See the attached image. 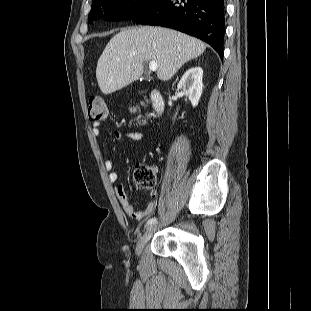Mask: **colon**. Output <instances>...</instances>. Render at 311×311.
<instances>
[{
  "label": "colon",
  "instance_id": "obj_1",
  "mask_svg": "<svg viewBox=\"0 0 311 311\" xmlns=\"http://www.w3.org/2000/svg\"><path fill=\"white\" fill-rule=\"evenodd\" d=\"M108 109L106 102L101 97H92L89 100L88 105V117L92 122H100L107 118ZM139 121L143 120L141 115H138ZM134 178L139 186L152 189L154 183V175L153 173L144 167L136 168L134 172Z\"/></svg>",
  "mask_w": 311,
  "mask_h": 311
}]
</instances>
